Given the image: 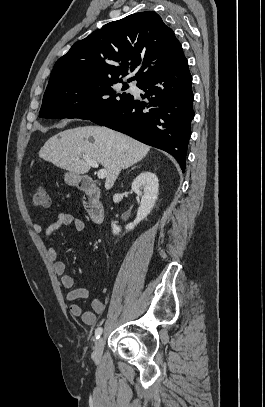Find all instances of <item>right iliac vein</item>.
<instances>
[{"label": "right iliac vein", "mask_w": 265, "mask_h": 407, "mask_svg": "<svg viewBox=\"0 0 265 407\" xmlns=\"http://www.w3.org/2000/svg\"><path fill=\"white\" fill-rule=\"evenodd\" d=\"M103 346H104V339L102 337H100L95 343L93 354H92L93 359L95 361H99L101 359Z\"/></svg>", "instance_id": "right-iliac-vein-1"}]
</instances>
